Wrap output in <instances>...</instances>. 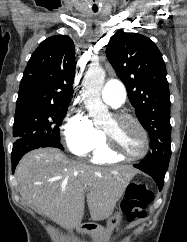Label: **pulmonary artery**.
I'll use <instances>...</instances> for the list:
<instances>
[{
    "instance_id": "e3ab8cb5",
    "label": "pulmonary artery",
    "mask_w": 187,
    "mask_h": 242,
    "mask_svg": "<svg viewBox=\"0 0 187 242\" xmlns=\"http://www.w3.org/2000/svg\"><path fill=\"white\" fill-rule=\"evenodd\" d=\"M101 97L106 104L118 108L125 102V87L118 80H109L103 87Z\"/></svg>"
}]
</instances>
